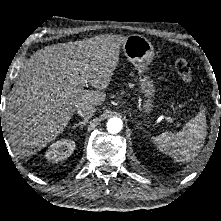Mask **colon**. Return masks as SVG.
I'll return each mask as SVG.
<instances>
[{
    "label": "colon",
    "instance_id": "5ec220e1",
    "mask_svg": "<svg viewBox=\"0 0 221 221\" xmlns=\"http://www.w3.org/2000/svg\"><path fill=\"white\" fill-rule=\"evenodd\" d=\"M175 69L181 76L182 80L190 85L193 82L192 69L189 61L186 58L179 57L175 61Z\"/></svg>",
    "mask_w": 221,
    "mask_h": 221
}]
</instances>
